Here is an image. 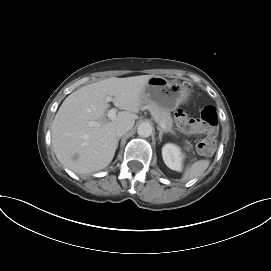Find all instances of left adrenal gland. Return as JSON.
<instances>
[{
  "instance_id": "left-adrenal-gland-1",
  "label": "left adrenal gland",
  "mask_w": 271,
  "mask_h": 271,
  "mask_svg": "<svg viewBox=\"0 0 271 271\" xmlns=\"http://www.w3.org/2000/svg\"><path fill=\"white\" fill-rule=\"evenodd\" d=\"M157 130L159 131V140L161 142L164 131L161 128H159V127L157 128Z\"/></svg>"
}]
</instances>
